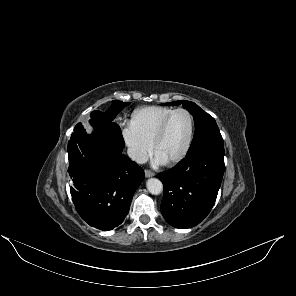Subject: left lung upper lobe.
<instances>
[{
    "instance_id": "left-lung-upper-lobe-1",
    "label": "left lung upper lobe",
    "mask_w": 296,
    "mask_h": 296,
    "mask_svg": "<svg viewBox=\"0 0 296 296\" xmlns=\"http://www.w3.org/2000/svg\"><path fill=\"white\" fill-rule=\"evenodd\" d=\"M180 104H182L193 115L196 127L195 134L187 155H190L205 147L223 144V138L220 134L215 119L202 110L198 105L187 100L165 103V105L169 106Z\"/></svg>"
}]
</instances>
